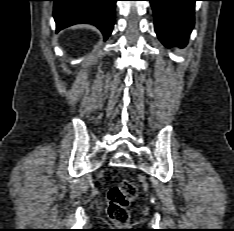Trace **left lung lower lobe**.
Returning <instances> with one entry per match:
<instances>
[{
	"mask_svg": "<svg viewBox=\"0 0 234 231\" xmlns=\"http://www.w3.org/2000/svg\"><path fill=\"white\" fill-rule=\"evenodd\" d=\"M149 1L159 40L167 47L186 45L194 26V5L197 0Z\"/></svg>",
	"mask_w": 234,
	"mask_h": 231,
	"instance_id": "0a47b994",
	"label": "left lung lower lobe"
}]
</instances>
